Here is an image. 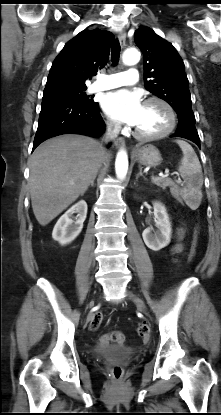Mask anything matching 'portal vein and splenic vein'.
I'll return each mask as SVG.
<instances>
[{"label": "portal vein and splenic vein", "instance_id": "18ae733b", "mask_svg": "<svg viewBox=\"0 0 221 415\" xmlns=\"http://www.w3.org/2000/svg\"><path fill=\"white\" fill-rule=\"evenodd\" d=\"M169 174H170V173H169V171H167V170H166V171H165V173H164V174H160V176H161V177H167V176H169ZM153 179H154V178H153ZM177 182H178V183H180V182H181L180 178H178Z\"/></svg>", "mask_w": 221, "mask_h": 415}]
</instances>
